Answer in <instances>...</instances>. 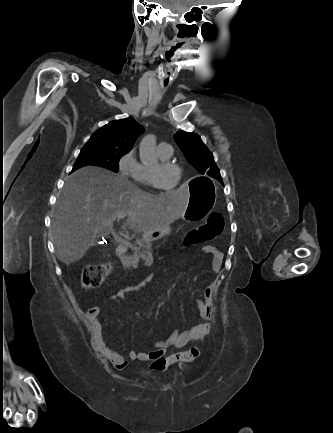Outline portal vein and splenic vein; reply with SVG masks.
Here are the masks:
<instances>
[{
  "instance_id": "portal-vein-and-splenic-vein-1",
  "label": "portal vein and splenic vein",
  "mask_w": 333,
  "mask_h": 433,
  "mask_svg": "<svg viewBox=\"0 0 333 433\" xmlns=\"http://www.w3.org/2000/svg\"><path fill=\"white\" fill-rule=\"evenodd\" d=\"M127 216H129V214H127V213H118L112 220H108V224H111L112 223V221H119V220H121V219H123V218H125V217H127ZM128 244H129V242L128 241H123L122 242V244H121V246L122 247H124V246H128Z\"/></svg>"
}]
</instances>
